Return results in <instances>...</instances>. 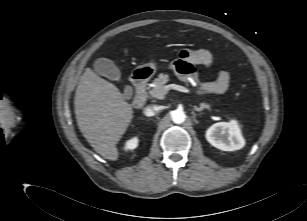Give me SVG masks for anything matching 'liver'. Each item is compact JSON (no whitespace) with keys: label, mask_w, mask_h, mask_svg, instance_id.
<instances>
[{"label":"liver","mask_w":307,"mask_h":221,"mask_svg":"<svg viewBox=\"0 0 307 221\" xmlns=\"http://www.w3.org/2000/svg\"><path fill=\"white\" fill-rule=\"evenodd\" d=\"M77 124L103 158L118 159L117 143L133 119V109L119 89L90 68L81 77L74 98Z\"/></svg>","instance_id":"liver-1"}]
</instances>
